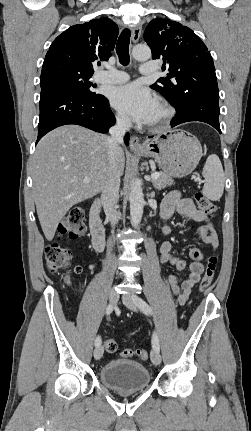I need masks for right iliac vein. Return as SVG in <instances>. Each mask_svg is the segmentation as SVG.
<instances>
[{"instance_id": "1", "label": "right iliac vein", "mask_w": 251, "mask_h": 431, "mask_svg": "<svg viewBox=\"0 0 251 431\" xmlns=\"http://www.w3.org/2000/svg\"><path fill=\"white\" fill-rule=\"evenodd\" d=\"M118 299H119V294H118V292L113 288V289H111V291H110V293H109V301H110V303L112 304V305H116L117 304V302H118ZM103 353H104V349H103V347L100 345V346H97L96 348H95V350H94V358L96 359V360H99L102 356H103Z\"/></svg>"}]
</instances>
